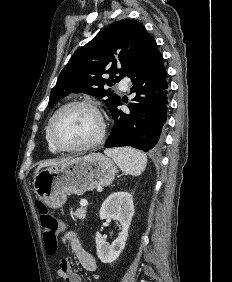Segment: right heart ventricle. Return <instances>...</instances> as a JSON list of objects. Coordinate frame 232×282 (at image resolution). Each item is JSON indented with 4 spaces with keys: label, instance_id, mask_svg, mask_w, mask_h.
<instances>
[{
    "label": "right heart ventricle",
    "instance_id": "right-heart-ventricle-1",
    "mask_svg": "<svg viewBox=\"0 0 232 282\" xmlns=\"http://www.w3.org/2000/svg\"><path fill=\"white\" fill-rule=\"evenodd\" d=\"M45 139H46V143H47V147H48V150L53 153V154H57L59 153L60 151L54 147V145L51 143L49 137H48V132H47V128H46V132H45Z\"/></svg>",
    "mask_w": 232,
    "mask_h": 282
}]
</instances>
